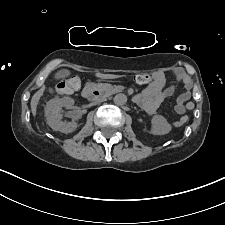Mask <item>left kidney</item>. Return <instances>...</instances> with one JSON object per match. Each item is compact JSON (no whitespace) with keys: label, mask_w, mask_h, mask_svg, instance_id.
<instances>
[{"label":"left kidney","mask_w":225,"mask_h":225,"mask_svg":"<svg viewBox=\"0 0 225 225\" xmlns=\"http://www.w3.org/2000/svg\"><path fill=\"white\" fill-rule=\"evenodd\" d=\"M152 129L151 132L154 135H165L168 134L172 126L162 115H155L151 120Z\"/></svg>","instance_id":"5707ae66"}]
</instances>
